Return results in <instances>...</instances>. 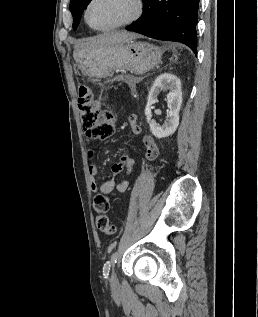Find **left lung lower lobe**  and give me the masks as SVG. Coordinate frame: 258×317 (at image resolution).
Returning <instances> with one entry per match:
<instances>
[{
    "label": "left lung lower lobe",
    "mask_w": 258,
    "mask_h": 317,
    "mask_svg": "<svg viewBox=\"0 0 258 317\" xmlns=\"http://www.w3.org/2000/svg\"><path fill=\"white\" fill-rule=\"evenodd\" d=\"M200 0H144L143 15L128 31L183 43L196 51V25Z\"/></svg>",
    "instance_id": "0a47b994"
}]
</instances>
